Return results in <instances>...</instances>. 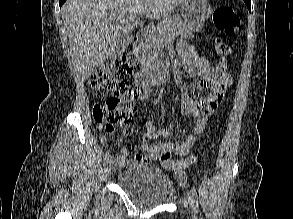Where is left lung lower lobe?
Here are the masks:
<instances>
[{
	"label": "left lung lower lobe",
	"instance_id": "0a47b994",
	"mask_svg": "<svg viewBox=\"0 0 293 219\" xmlns=\"http://www.w3.org/2000/svg\"><path fill=\"white\" fill-rule=\"evenodd\" d=\"M244 2L246 3V5H247L249 11H251V6H250V2H251V0H244Z\"/></svg>",
	"mask_w": 293,
	"mask_h": 219
}]
</instances>
